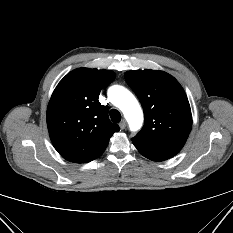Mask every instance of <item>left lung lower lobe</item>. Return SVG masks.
<instances>
[{"mask_svg":"<svg viewBox=\"0 0 233 233\" xmlns=\"http://www.w3.org/2000/svg\"><path fill=\"white\" fill-rule=\"evenodd\" d=\"M135 147L138 151L145 156L146 158L153 160V161H164L173 156H175L178 152L176 151H163V150H154V149H147L140 146Z\"/></svg>","mask_w":233,"mask_h":233,"instance_id":"left-lung-lower-lobe-1","label":"left lung lower lobe"}]
</instances>
